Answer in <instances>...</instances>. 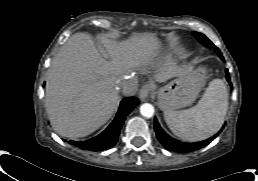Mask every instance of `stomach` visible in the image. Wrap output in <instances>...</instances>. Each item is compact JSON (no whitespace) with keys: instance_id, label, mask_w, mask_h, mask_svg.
I'll return each instance as SVG.
<instances>
[{"instance_id":"obj_1","label":"stomach","mask_w":258,"mask_h":181,"mask_svg":"<svg viewBox=\"0 0 258 181\" xmlns=\"http://www.w3.org/2000/svg\"><path fill=\"white\" fill-rule=\"evenodd\" d=\"M207 70L198 68L178 77L156 90L158 106L163 111H172L191 105L205 84Z\"/></svg>"}]
</instances>
